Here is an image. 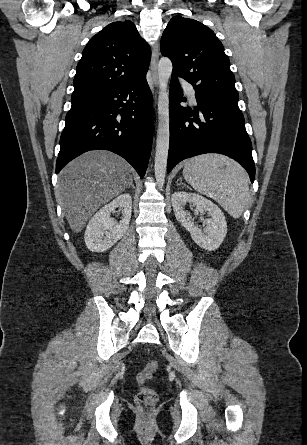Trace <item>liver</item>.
Wrapping results in <instances>:
<instances>
[{
	"mask_svg": "<svg viewBox=\"0 0 307 445\" xmlns=\"http://www.w3.org/2000/svg\"><path fill=\"white\" fill-rule=\"evenodd\" d=\"M130 164L109 150H89L64 166L56 198L73 233H81L92 214L130 184Z\"/></svg>",
	"mask_w": 307,
	"mask_h": 445,
	"instance_id": "obj_1",
	"label": "liver"
}]
</instances>
